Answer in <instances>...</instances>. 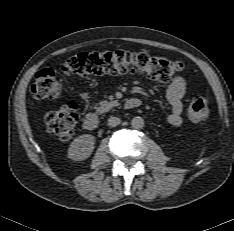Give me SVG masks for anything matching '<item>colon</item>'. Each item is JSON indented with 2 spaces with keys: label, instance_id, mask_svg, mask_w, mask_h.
Here are the masks:
<instances>
[{
  "label": "colon",
  "instance_id": "obj_1",
  "mask_svg": "<svg viewBox=\"0 0 234 231\" xmlns=\"http://www.w3.org/2000/svg\"><path fill=\"white\" fill-rule=\"evenodd\" d=\"M183 68L179 61L154 57L146 53L128 51L82 52L67 59L62 65L66 76L82 77L99 75H118L133 71L160 82H168ZM32 94L38 99L57 98L62 87L52 70L44 69L36 74L31 87ZM209 116L207 101L201 96L194 97L188 108L191 122L204 123ZM79 118L77 104L70 103L46 114L43 120L45 129L58 139L70 140L75 133Z\"/></svg>",
  "mask_w": 234,
  "mask_h": 231
}]
</instances>
